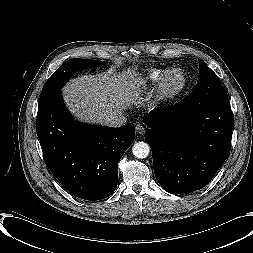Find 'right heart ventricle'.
<instances>
[{
	"label": "right heart ventricle",
	"instance_id": "1",
	"mask_svg": "<svg viewBox=\"0 0 253 253\" xmlns=\"http://www.w3.org/2000/svg\"><path fill=\"white\" fill-rule=\"evenodd\" d=\"M164 72L165 71L162 69L150 70L148 75L144 78V80L139 85L146 86V85L156 84L160 80V78L163 76Z\"/></svg>",
	"mask_w": 253,
	"mask_h": 253
}]
</instances>
